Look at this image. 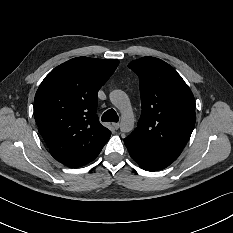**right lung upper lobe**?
Masks as SVG:
<instances>
[{
	"instance_id": "right-lung-upper-lobe-1",
	"label": "right lung upper lobe",
	"mask_w": 233,
	"mask_h": 233,
	"mask_svg": "<svg viewBox=\"0 0 233 233\" xmlns=\"http://www.w3.org/2000/svg\"><path fill=\"white\" fill-rule=\"evenodd\" d=\"M113 59L73 58L54 68L34 100L38 130L62 164L82 165L100 153L111 131L96 114L98 91L115 71Z\"/></svg>"
}]
</instances>
